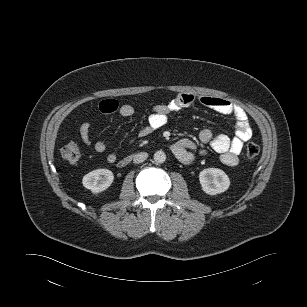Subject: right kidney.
<instances>
[{"instance_id": "ca27d5eb", "label": "right kidney", "mask_w": 307, "mask_h": 307, "mask_svg": "<svg viewBox=\"0 0 307 307\" xmlns=\"http://www.w3.org/2000/svg\"><path fill=\"white\" fill-rule=\"evenodd\" d=\"M114 175L108 169H96L86 174L82 183L83 186L93 193L105 191L113 182Z\"/></svg>"}]
</instances>
